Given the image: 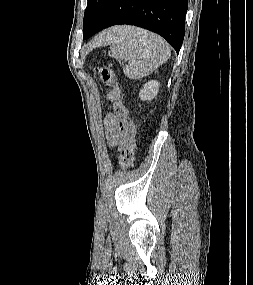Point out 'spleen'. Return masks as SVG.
Instances as JSON below:
<instances>
[{
	"mask_svg": "<svg viewBox=\"0 0 253 285\" xmlns=\"http://www.w3.org/2000/svg\"><path fill=\"white\" fill-rule=\"evenodd\" d=\"M104 42L110 43L112 57L127 63L123 72L129 79L149 75L171 55L170 46L162 37L138 27H124Z\"/></svg>",
	"mask_w": 253,
	"mask_h": 285,
	"instance_id": "3e777b00",
	"label": "spleen"
}]
</instances>
